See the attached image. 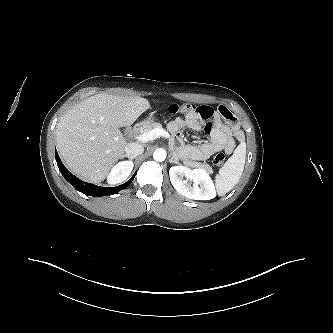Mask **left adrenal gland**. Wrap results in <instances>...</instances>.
I'll return each mask as SVG.
<instances>
[{"instance_id": "obj_1", "label": "left adrenal gland", "mask_w": 333, "mask_h": 333, "mask_svg": "<svg viewBox=\"0 0 333 333\" xmlns=\"http://www.w3.org/2000/svg\"><path fill=\"white\" fill-rule=\"evenodd\" d=\"M170 163L180 164L178 158L173 154L171 159L169 160Z\"/></svg>"}]
</instances>
